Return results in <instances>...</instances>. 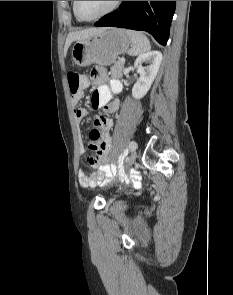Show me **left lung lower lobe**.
I'll return each mask as SVG.
<instances>
[{
    "label": "left lung lower lobe",
    "instance_id": "0a47b994",
    "mask_svg": "<svg viewBox=\"0 0 233 295\" xmlns=\"http://www.w3.org/2000/svg\"><path fill=\"white\" fill-rule=\"evenodd\" d=\"M176 1H123L120 7L101 18L94 25L112 26L150 33L160 44L166 45Z\"/></svg>",
    "mask_w": 233,
    "mask_h": 295
}]
</instances>
